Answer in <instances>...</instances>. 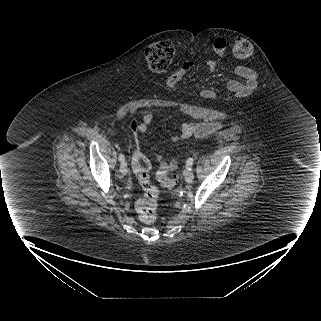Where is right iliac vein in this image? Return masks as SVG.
<instances>
[{"label":"right iliac vein","instance_id":"obj_1","mask_svg":"<svg viewBox=\"0 0 321 321\" xmlns=\"http://www.w3.org/2000/svg\"><path fill=\"white\" fill-rule=\"evenodd\" d=\"M120 171L123 175L127 174V163L126 161H123L120 166Z\"/></svg>","mask_w":321,"mask_h":321}]
</instances>
